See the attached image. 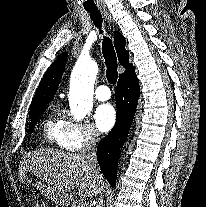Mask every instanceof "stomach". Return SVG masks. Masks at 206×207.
Instances as JSON below:
<instances>
[{
	"label": "stomach",
	"mask_w": 206,
	"mask_h": 207,
	"mask_svg": "<svg viewBox=\"0 0 206 207\" xmlns=\"http://www.w3.org/2000/svg\"><path fill=\"white\" fill-rule=\"evenodd\" d=\"M33 186L36 187L40 192H42L44 195L48 196L47 193H48V187L47 185L42 181V180H38L36 179L34 182H33Z\"/></svg>",
	"instance_id": "0dacf381"
}]
</instances>
